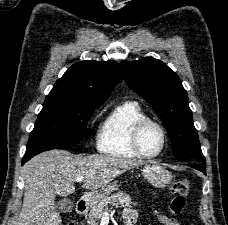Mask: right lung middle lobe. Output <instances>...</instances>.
I'll return each mask as SVG.
<instances>
[{
    "label": "right lung middle lobe",
    "instance_id": "obj_1",
    "mask_svg": "<svg viewBox=\"0 0 228 225\" xmlns=\"http://www.w3.org/2000/svg\"><path fill=\"white\" fill-rule=\"evenodd\" d=\"M100 105L50 93L30 133L27 146L45 141L78 143L83 139L88 120Z\"/></svg>",
    "mask_w": 228,
    "mask_h": 225
}]
</instances>
